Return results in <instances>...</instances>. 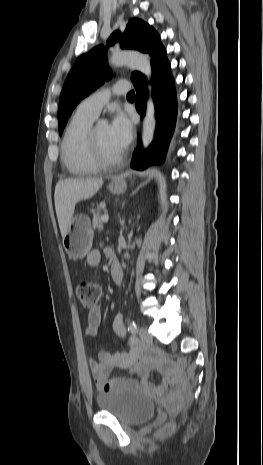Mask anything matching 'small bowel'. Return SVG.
<instances>
[{
	"mask_svg": "<svg viewBox=\"0 0 263 465\" xmlns=\"http://www.w3.org/2000/svg\"><path fill=\"white\" fill-rule=\"evenodd\" d=\"M101 260V252L92 250L87 256V263L90 266H97ZM102 322V311L99 306L89 310L87 316V326L85 336L93 339ZM112 329L116 336L121 339L126 338L123 324V314L118 312L112 321ZM128 351L116 352L114 354L101 350L92 355L89 360V368L98 390L107 391L114 388H128L141 390L155 396H159L163 388L173 382L176 377L171 371H165L164 381L160 385L151 383L148 379L151 364L142 356L140 347L130 340ZM115 368L130 369L137 375V379L110 378Z\"/></svg>",
	"mask_w": 263,
	"mask_h": 465,
	"instance_id": "obj_1",
	"label": "small bowel"
}]
</instances>
